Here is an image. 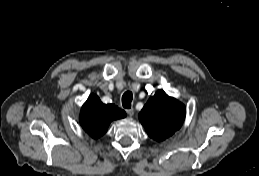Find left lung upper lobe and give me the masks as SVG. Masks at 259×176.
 <instances>
[{
	"label": "left lung upper lobe",
	"mask_w": 259,
	"mask_h": 176,
	"mask_svg": "<svg viewBox=\"0 0 259 176\" xmlns=\"http://www.w3.org/2000/svg\"><path fill=\"white\" fill-rule=\"evenodd\" d=\"M185 114L182 103L158 90L139 113V120L151 138L162 141L182 126Z\"/></svg>",
	"instance_id": "obj_1"
}]
</instances>
